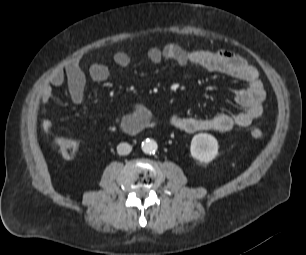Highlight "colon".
Instances as JSON below:
<instances>
[{
	"instance_id": "colon-1",
	"label": "colon",
	"mask_w": 306,
	"mask_h": 255,
	"mask_svg": "<svg viewBox=\"0 0 306 255\" xmlns=\"http://www.w3.org/2000/svg\"><path fill=\"white\" fill-rule=\"evenodd\" d=\"M251 136L255 139H261L263 131L255 127L251 130ZM56 146L60 154L67 159L74 157L78 151V143L72 138L59 137L56 139Z\"/></svg>"
}]
</instances>
